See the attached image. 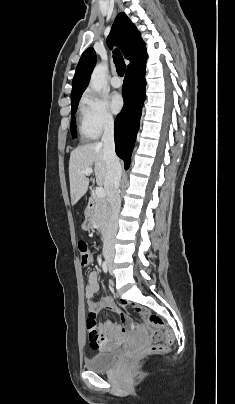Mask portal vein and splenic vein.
Segmentation results:
<instances>
[{"label":"portal vein and splenic vein","mask_w":235,"mask_h":404,"mask_svg":"<svg viewBox=\"0 0 235 404\" xmlns=\"http://www.w3.org/2000/svg\"><path fill=\"white\" fill-rule=\"evenodd\" d=\"M85 173H86L87 175L92 174V173H93L92 168H86V169H85ZM95 193H96V196H97L98 198H103V197H105V190H104L102 187H97L96 190H95Z\"/></svg>","instance_id":"18ae733b"}]
</instances>
